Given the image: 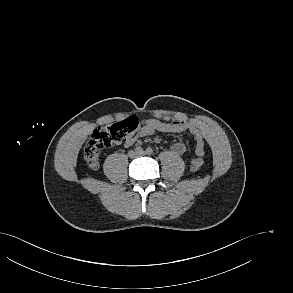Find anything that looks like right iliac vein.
Listing matches in <instances>:
<instances>
[{"mask_svg": "<svg viewBox=\"0 0 293 293\" xmlns=\"http://www.w3.org/2000/svg\"><path fill=\"white\" fill-rule=\"evenodd\" d=\"M130 157H132V158H134V157H136L138 154H137V152L135 151H132V152H130Z\"/></svg>", "mask_w": 293, "mask_h": 293, "instance_id": "1", "label": "right iliac vein"}]
</instances>
